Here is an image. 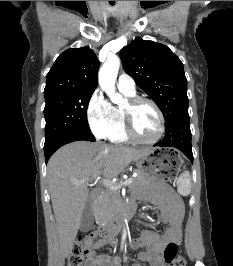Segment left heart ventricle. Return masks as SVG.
I'll return each instance as SVG.
<instances>
[{
	"mask_svg": "<svg viewBox=\"0 0 233 266\" xmlns=\"http://www.w3.org/2000/svg\"><path fill=\"white\" fill-rule=\"evenodd\" d=\"M127 107V103L124 105ZM136 134L143 139L154 138L159 131V118L155 109L149 104L138 106L132 114Z\"/></svg>",
	"mask_w": 233,
	"mask_h": 266,
	"instance_id": "b2bd125f",
	"label": "left heart ventricle"
}]
</instances>
